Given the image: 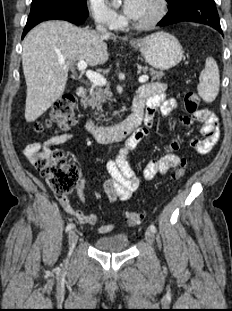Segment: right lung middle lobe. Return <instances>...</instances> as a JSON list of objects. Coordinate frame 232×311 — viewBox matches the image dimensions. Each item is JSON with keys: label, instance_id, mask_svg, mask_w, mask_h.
I'll use <instances>...</instances> for the list:
<instances>
[{"label": "right lung middle lobe", "instance_id": "1", "mask_svg": "<svg viewBox=\"0 0 232 311\" xmlns=\"http://www.w3.org/2000/svg\"><path fill=\"white\" fill-rule=\"evenodd\" d=\"M44 7H65L88 16L86 0H32L31 11Z\"/></svg>", "mask_w": 232, "mask_h": 311}]
</instances>
